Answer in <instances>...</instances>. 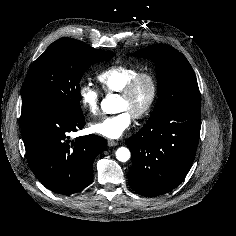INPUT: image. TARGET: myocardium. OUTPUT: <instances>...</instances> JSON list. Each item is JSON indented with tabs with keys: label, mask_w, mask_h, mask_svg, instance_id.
Returning <instances> with one entry per match:
<instances>
[{
	"label": "myocardium",
	"mask_w": 236,
	"mask_h": 236,
	"mask_svg": "<svg viewBox=\"0 0 236 236\" xmlns=\"http://www.w3.org/2000/svg\"><path fill=\"white\" fill-rule=\"evenodd\" d=\"M142 81L148 82L150 87V93L149 98L144 107H142L140 110L136 111L133 114V117L136 119H141L149 115L155 106L159 93V85L156 75L148 70L139 71L129 79L123 89L119 92L120 97L125 99L130 98L134 94L140 82Z\"/></svg>",
	"instance_id": "f54148a6"
}]
</instances>
